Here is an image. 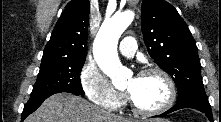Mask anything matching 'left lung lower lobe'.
<instances>
[{"instance_id": "obj_1", "label": "left lung lower lobe", "mask_w": 221, "mask_h": 122, "mask_svg": "<svg viewBox=\"0 0 221 122\" xmlns=\"http://www.w3.org/2000/svg\"><path fill=\"white\" fill-rule=\"evenodd\" d=\"M183 108H193L199 110L202 113H205V115L208 117L210 121H213L211 107L206 96L192 97L189 99L179 101L174 107H172L171 109H169L168 111L164 112L159 116H163Z\"/></svg>"}]
</instances>
